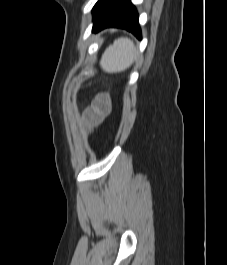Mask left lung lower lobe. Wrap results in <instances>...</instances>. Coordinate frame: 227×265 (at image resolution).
Segmentation results:
<instances>
[{
	"label": "left lung lower lobe",
	"mask_w": 227,
	"mask_h": 265,
	"mask_svg": "<svg viewBox=\"0 0 227 265\" xmlns=\"http://www.w3.org/2000/svg\"><path fill=\"white\" fill-rule=\"evenodd\" d=\"M93 31L107 27L123 28L141 39L138 14L130 0H106L93 12Z\"/></svg>",
	"instance_id": "left-lung-lower-lobe-1"
}]
</instances>
